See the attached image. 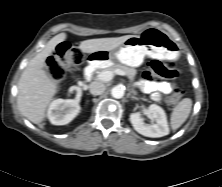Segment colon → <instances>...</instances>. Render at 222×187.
I'll return each instance as SVG.
<instances>
[{
    "label": "colon",
    "mask_w": 222,
    "mask_h": 187,
    "mask_svg": "<svg viewBox=\"0 0 222 187\" xmlns=\"http://www.w3.org/2000/svg\"><path fill=\"white\" fill-rule=\"evenodd\" d=\"M82 60L83 55L78 49L73 48L69 44L62 43L47 59L46 68L53 79L61 80L68 71L80 65ZM177 74V70L172 65L163 61L153 60L143 75L146 80H154L159 78L171 79L176 77ZM182 96V91L174 90L168 96L167 103L173 106L179 102Z\"/></svg>",
    "instance_id": "5ec220e1"
}]
</instances>
